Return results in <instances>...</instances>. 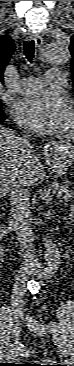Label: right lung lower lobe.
Instances as JSON below:
<instances>
[{
    "mask_svg": "<svg viewBox=\"0 0 74 366\" xmlns=\"http://www.w3.org/2000/svg\"><path fill=\"white\" fill-rule=\"evenodd\" d=\"M4 116L2 115V117H0V123L4 120Z\"/></svg>",
    "mask_w": 74,
    "mask_h": 366,
    "instance_id": "1",
    "label": "right lung lower lobe"
}]
</instances>
